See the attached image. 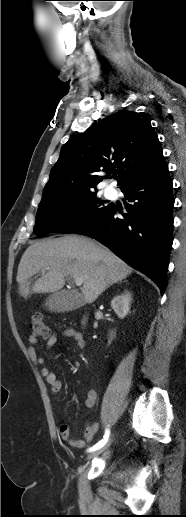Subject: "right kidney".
Here are the masks:
<instances>
[{
	"instance_id": "obj_1",
	"label": "right kidney",
	"mask_w": 186,
	"mask_h": 517,
	"mask_svg": "<svg viewBox=\"0 0 186 517\" xmlns=\"http://www.w3.org/2000/svg\"><path fill=\"white\" fill-rule=\"evenodd\" d=\"M131 294L127 290L123 294L116 295L111 301V307L119 318H124L130 309Z\"/></svg>"
}]
</instances>
